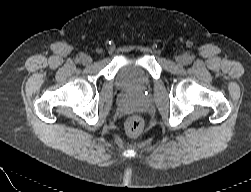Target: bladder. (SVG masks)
Instances as JSON below:
<instances>
[{
    "instance_id": "31cf9c89",
    "label": "bladder",
    "mask_w": 251,
    "mask_h": 192,
    "mask_svg": "<svg viewBox=\"0 0 251 192\" xmlns=\"http://www.w3.org/2000/svg\"><path fill=\"white\" fill-rule=\"evenodd\" d=\"M116 84L126 90H145L150 87L151 79L142 66L133 62L120 69Z\"/></svg>"
}]
</instances>
